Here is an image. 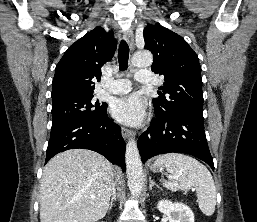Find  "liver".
<instances>
[{
    "instance_id": "1",
    "label": "liver",
    "mask_w": 257,
    "mask_h": 222,
    "mask_svg": "<svg viewBox=\"0 0 257 222\" xmlns=\"http://www.w3.org/2000/svg\"><path fill=\"white\" fill-rule=\"evenodd\" d=\"M114 186L112 165L102 155L61 152L43 170L40 222H96L106 215Z\"/></svg>"
}]
</instances>
